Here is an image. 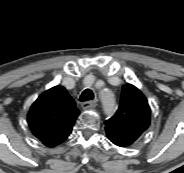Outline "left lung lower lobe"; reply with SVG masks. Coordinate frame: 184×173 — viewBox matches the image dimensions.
<instances>
[{"mask_svg":"<svg viewBox=\"0 0 184 173\" xmlns=\"http://www.w3.org/2000/svg\"><path fill=\"white\" fill-rule=\"evenodd\" d=\"M108 136V135H107ZM108 139L113 143L115 144L116 146H119V147H126L127 145H125L121 140L115 138V137H112V136H108Z\"/></svg>","mask_w":184,"mask_h":173,"instance_id":"obj_1","label":"left lung lower lobe"}]
</instances>
